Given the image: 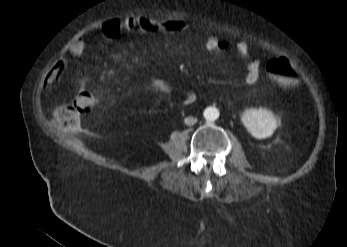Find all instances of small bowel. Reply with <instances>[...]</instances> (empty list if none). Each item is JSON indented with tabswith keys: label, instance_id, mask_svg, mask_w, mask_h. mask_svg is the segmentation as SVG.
I'll use <instances>...</instances> for the list:
<instances>
[{
	"label": "small bowel",
	"instance_id": "small-bowel-1",
	"mask_svg": "<svg viewBox=\"0 0 347 247\" xmlns=\"http://www.w3.org/2000/svg\"><path fill=\"white\" fill-rule=\"evenodd\" d=\"M183 27L176 24L154 23L147 18L129 17L123 20L111 19L107 21L101 28L103 36L109 39L117 38L122 32L144 30L151 32H164V31H179ZM203 46L206 51L215 55L221 56L226 52H234L235 55L245 62L246 74L244 82L248 86H254L259 80L260 61L250 56L249 46L245 41L230 42L222 40L217 34L202 30ZM86 50V42L83 39H77L70 44L69 52L75 56H81ZM67 70L66 61L62 60L56 63L47 75L45 84L48 90L52 88L61 80L63 74ZM77 93L81 90L87 89V80L85 77H80L77 82ZM150 86L156 91L170 94L175 90V86L160 77H152ZM197 99L196 93L193 91H185L183 95V103L185 105H192Z\"/></svg>",
	"mask_w": 347,
	"mask_h": 247
}]
</instances>
